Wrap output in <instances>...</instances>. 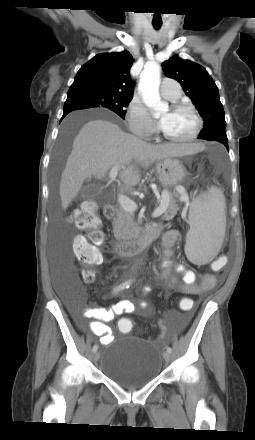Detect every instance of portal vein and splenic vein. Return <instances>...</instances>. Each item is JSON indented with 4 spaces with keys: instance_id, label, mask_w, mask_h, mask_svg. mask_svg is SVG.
I'll return each mask as SVG.
<instances>
[{
    "instance_id": "1",
    "label": "portal vein and splenic vein",
    "mask_w": 255,
    "mask_h": 440,
    "mask_svg": "<svg viewBox=\"0 0 255 440\" xmlns=\"http://www.w3.org/2000/svg\"><path fill=\"white\" fill-rule=\"evenodd\" d=\"M120 168H121L120 165L114 166L109 173V178L112 180L116 179ZM118 201L121 207L127 212H134L137 210V204L129 197L123 194L118 195ZM165 210H166V205L162 204L161 206H159L157 209L154 210L153 217H159L165 212Z\"/></svg>"
}]
</instances>
